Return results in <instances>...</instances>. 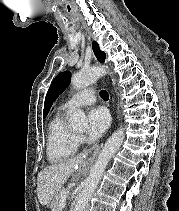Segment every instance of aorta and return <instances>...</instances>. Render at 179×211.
Instances as JSON below:
<instances>
[{"label": "aorta", "mask_w": 179, "mask_h": 211, "mask_svg": "<svg viewBox=\"0 0 179 211\" xmlns=\"http://www.w3.org/2000/svg\"><path fill=\"white\" fill-rule=\"evenodd\" d=\"M107 70L101 66H94L88 69H83L78 73L72 75L71 84L76 89L85 88L95 81H97L101 76L107 74ZM70 125L76 129H83L86 127V117L82 110H77L70 115L69 118ZM125 138L123 129H118L115 131L109 139L106 141L101 153L98 156L97 161L90 170V174L84 183V187L78 196L77 203L74 211H85L88 201L96 189L106 166L111 159V157L117 152L121 147Z\"/></svg>", "instance_id": "1"}]
</instances>
